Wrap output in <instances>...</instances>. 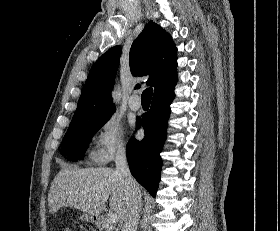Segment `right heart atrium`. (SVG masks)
<instances>
[{
  "label": "right heart atrium",
  "instance_id": "1",
  "mask_svg": "<svg viewBox=\"0 0 280 231\" xmlns=\"http://www.w3.org/2000/svg\"><path fill=\"white\" fill-rule=\"evenodd\" d=\"M128 149L125 131L116 117L106 118L100 126L93 157L100 163L109 162L117 153Z\"/></svg>",
  "mask_w": 280,
  "mask_h": 231
}]
</instances>
